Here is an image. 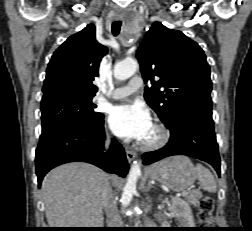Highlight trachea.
Returning a JSON list of instances; mask_svg holds the SVG:
<instances>
[{
	"label": "trachea",
	"instance_id": "trachea-1",
	"mask_svg": "<svg viewBox=\"0 0 252 231\" xmlns=\"http://www.w3.org/2000/svg\"><path fill=\"white\" fill-rule=\"evenodd\" d=\"M121 29V21H115L112 23V33L114 36H117Z\"/></svg>",
	"mask_w": 252,
	"mask_h": 231
}]
</instances>
